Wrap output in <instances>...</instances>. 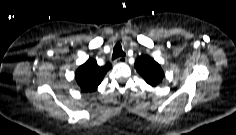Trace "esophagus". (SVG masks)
<instances>
[{"label": "esophagus", "mask_w": 236, "mask_h": 135, "mask_svg": "<svg viewBox=\"0 0 236 135\" xmlns=\"http://www.w3.org/2000/svg\"><path fill=\"white\" fill-rule=\"evenodd\" d=\"M116 63H125L127 62V58L126 57H119L115 60Z\"/></svg>", "instance_id": "1"}]
</instances>
